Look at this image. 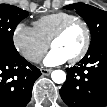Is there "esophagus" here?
I'll return each mask as SVG.
<instances>
[{"mask_svg": "<svg viewBox=\"0 0 107 107\" xmlns=\"http://www.w3.org/2000/svg\"><path fill=\"white\" fill-rule=\"evenodd\" d=\"M52 72V69H41V73L43 75H49Z\"/></svg>", "mask_w": 107, "mask_h": 107, "instance_id": "obj_1", "label": "esophagus"}]
</instances>
